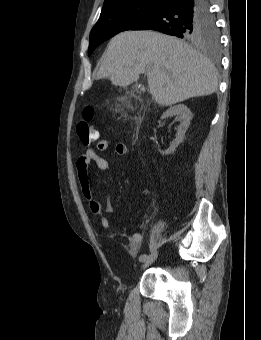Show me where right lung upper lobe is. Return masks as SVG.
<instances>
[{"instance_id": "right-lung-upper-lobe-1", "label": "right lung upper lobe", "mask_w": 261, "mask_h": 340, "mask_svg": "<svg viewBox=\"0 0 261 340\" xmlns=\"http://www.w3.org/2000/svg\"><path fill=\"white\" fill-rule=\"evenodd\" d=\"M135 1H143V0H105L102 12L112 7L125 5L131 2H135Z\"/></svg>"}]
</instances>
